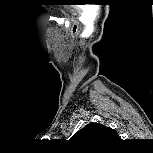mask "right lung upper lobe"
<instances>
[{"label": "right lung upper lobe", "mask_w": 153, "mask_h": 153, "mask_svg": "<svg viewBox=\"0 0 153 153\" xmlns=\"http://www.w3.org/2000/svg\"><path fill=\"white\" fill-rule=\"evenodd\" d=\"M117 139L119 137L112 128L99 123H89L71 138L76 143L84 145H95Z\"/></svg>", "instance_id": "1"}]
</instances>
